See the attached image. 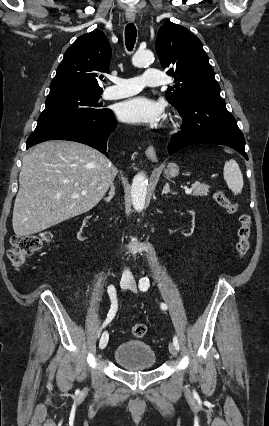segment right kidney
<instances>
[{"label":"right kidney","instance_id":"obj_1","mask_svg":"<svg viewBox=\"0 0 269 426\" xmlns=\"http://www.w3.org/2000/svg\"><path fill=\"white\" fill-rule=\"evenodd\" d=\"M92 218L90 217V216H86L85 217V219H84V221H83V225H82V227L80 228V231L78 232V235H77V239L79 240V241H84V240H86L87 239V237H84V236H82L81 235V233H82V228L85 226V224H86V221H90Z\"/></svg>","mask_w":269,"mask_h":426}]
</instances>
